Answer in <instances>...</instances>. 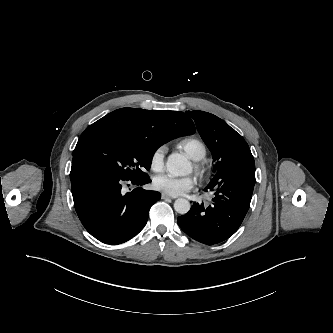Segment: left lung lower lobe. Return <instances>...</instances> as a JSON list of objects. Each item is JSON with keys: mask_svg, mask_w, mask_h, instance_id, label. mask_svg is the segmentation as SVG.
<instances>
[{"mask_svg": "<svg viewBox=\"0 0 333 333\" xmlns=\"http://www.w3.org/2000/svg\"><path fill=\"white\" fill-rule=\"evenodd\" d=\"M255 185L251 152L241 154L219 169L204 191H214L211 203H195L178 225L191 238L207 245L218 244L240 227L250 206Z\"/></svg>", "mask_w": 333, "mask_h": 333, "instance_id": "0a47b994", "label": "left lung lower lobe"}]
</instances>
